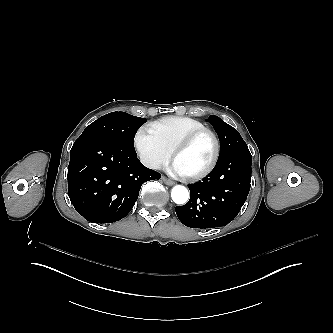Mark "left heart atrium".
Here are the masks:
<instances>
[{"label": "left heart atrium", "mask_w": 333, "mask_h": 333, "mask_svg": "<svg viewBox=\"0 0 333 333\" xmlns=\"http://www.w3.org/2000/svg\"><path fill=\"white\" fill-rule=\"evenodd\" d=\"M167 172L173 177H184V172L176 165L175 162L171 161L167 166Z\"/></svg>", "instance_id": "left-heart-atrium-1"}]
</instances>
